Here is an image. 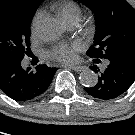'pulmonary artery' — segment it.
<instances>
[{
	"instance_id": "e3ab8cb5",
	"label": "pulmonary artery",
	"mask_w": 135,
	"mask_h": 135,
	"mask_svg": "<svg viewBox=\"0 0 135 135\" xmlns=\"http://www.w3.org/2000/svg\"><path fill=\"white\" fill-rule=\"evenodd\" d=\"M66 25L70 29H75L77 27V25H78V20H70V21L66 22ZM108 64H109V61L104 62L105 66H107Z\"/></svg>"
}]
</instances>
